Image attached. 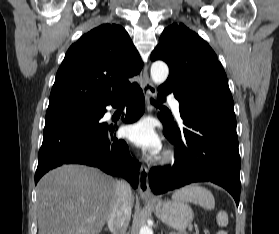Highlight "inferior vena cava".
Returning <instances> with one entry per match:
<instances>
[{"mask_svg":"<svg viewBox=\"0 0 279 234\" xmlns=\"http://www.w3.org/2000/svg\"><path fill=\"white\" fill-rule=\"evenodd\" d=\"M131 186L125 180L116 182L115 201L108 219V228L112 234H126L131 217Z\"/></svg>","mask_w":279,"mask_h":234,"instance_id":"1","label":"inferior vena cava"}]
</instances>
